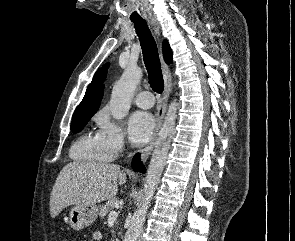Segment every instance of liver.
<instances>
[{"instance_id":"liver-1","label":"liver","mask_w":295,"mask_h":241,"mask_svg":"<svg viewBox=\"0 0 295 241\" xmlns=\"http://www.w3.org/2000/svg\"><path fill=\"white\" fill-rule=\"evenodd\" d=\"M127 181L119 165L102 162H72L60 171L50 196V214L56 217L69 205H94L111 200L118 184Z\"/></svg>"}]
</instances>
